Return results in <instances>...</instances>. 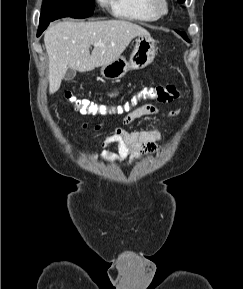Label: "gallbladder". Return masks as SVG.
<instances>
[{
    "instance_id": "1",
    "label": "gallbladder",
    "mask_w": 243,
    "mask_h": 289,
    "mask_svg": "<svg viewBox=\"0 0 243 289\" xmlns=\"http://www.w3.org/2000/svg\"><path fill=\"white\" fill-rule=\"evenodd\" d=\"M76 75V71L71 69V68H68L65 75H64V79L66 81H71Z\"/></svg>"
}]
</instances>
